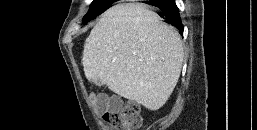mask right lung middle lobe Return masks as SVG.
Wrapping results in <instances>:
<instances>
[{"mask_svg": "<svg viewBox=\"0 0 257 130\" xmlns=\"http://www.w3.org/2000/svg\"><path fill=\"white\" fill-rule=\"evenodd\" d=\"M114 2L113 0H94L90 5L88 13L83 18V23L86 24L94 19Z\"/></svg>", "mask_w": 257, "mask_h": 130, "instance_id": "1", "label": "right lung middle lobe"}]
</instances>
